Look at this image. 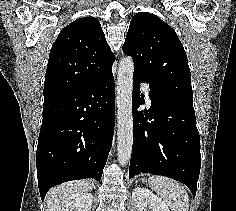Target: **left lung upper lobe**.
Listing matches in <instances>:
<instances>
[{
  "mask_svg": "<svg viewBox=\"0 0 236 211\" xmlns=\"http://www.w3.org/2000/svg\"><path fill=\"white\" fill-rule=\"evenodd\" d=\"M134 73L175 98L193 104L187 56L174 29L148 12L133 16L123 45Z\"/></svg>",
  "mask_w": 236,
  "mask_h": 211,
  "instance_id": "obj_1",
  "label": "left lung upper lobe"
}]
</instances>
